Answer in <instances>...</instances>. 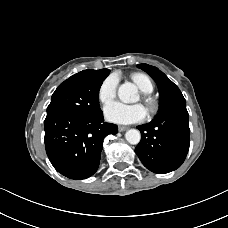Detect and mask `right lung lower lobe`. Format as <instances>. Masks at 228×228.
<instances>
[{
    "mask_svg": "<svg viewBox=\"0 0 228 228\" xmlns=\"http://www.w3.org/2000/svg\"><path fill=\"white\" fill-rule=\"evenodd\" d=\"M45 147L54 168L71 179H85L99 166L103 140L118 132L100 111L93 115L57 113L44 121Z\"/></svg>",
    "mask_w": 228,
    "mask_h": 228,
    "instance_id": "1",
    "label": "right lung lower lobe"
}]
</instances>
